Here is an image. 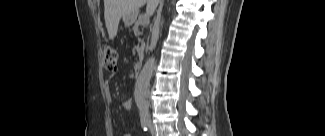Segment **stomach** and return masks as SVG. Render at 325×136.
Masks as SVG:
<instances>
[{
    "instance_id": "obj_1",
    "label": "stomach",
    "mask_w": 325,
    "mask_h": 136,
    "mask_svg": "<svg viewBox=\"0 0 325 136\" xmlns=\"http://www.w3.org/2000/svg\"><path fill=\"white\" fill-rule=\"evenodd\" d=\"M136 18H137V16L135 14H130V15L124 16L123 20L127 25H131L132 23L135 22Z\"/></svg>"
}]
</instances>
